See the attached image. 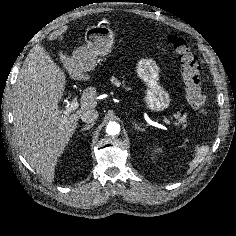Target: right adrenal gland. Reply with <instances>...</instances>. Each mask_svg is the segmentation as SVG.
Listing matches in <instances>:
<instances>
[{"label":"right adrenal gland","instance_id":"right-adrenal-gland-1","mask_svg":"<svg viewBox=\"0 0 236 236\" xmlns=\"http://www.w3.org/2000/svg\"><path fill=\"white\" fill-rule=\"evenodd\" d=\"M94 124L95 123L93 122V123H91L89 125H85L83 128H81L80 132H84V131L90 130L93 127Z\"/></svg>","mask_w":236,"mask_h":236}]
</instances>
